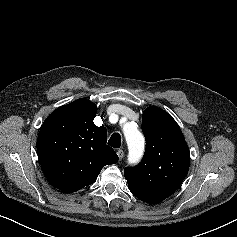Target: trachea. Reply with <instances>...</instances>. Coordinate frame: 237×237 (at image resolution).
Listing matches in <instances>:
<instances>
[{"instance_id": "obj_1", "label": "trachea", "mask_w": 237, "mask_h": 237, "mask_svg": "<svg viewBox=\"0 0 237 237\" xmlns=\"http://www.w3.org/2000/svg\"><path fill=\"white\" fill-rule=\"evenodd\" d=\"M108 145L114 147V148H119L121 146V136L119 133H114L109 141H108Z\"/></svg>"}]
</instances>
